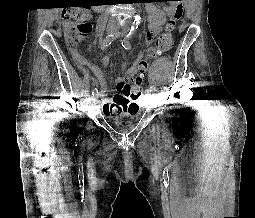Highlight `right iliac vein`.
I'll return each mask as SVG.
<instances>
[{
    "mask_svg": "<svg viewBox=\"0 0 255 218\" xmlns=\"http://www.w3.org/2000/svg\"><path fill=\"white\" fill-rule=\"evenodd\" d=\"M99 96L98 92L93 95L94 99H97Z\"/></svg>",
    "mask_w": 255,
    "mask_h": 218,
    "instance_id": "right-iliac-vein-1",
    "label": "right iliac vein"
}]
</instances>
